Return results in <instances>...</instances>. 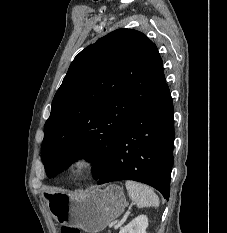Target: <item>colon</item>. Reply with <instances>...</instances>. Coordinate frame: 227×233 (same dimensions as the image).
I'll return each mask as SVG.
<instances>
[{
    "instance_id": "obj_1",
    "label": "colon",
    "mask_w": 227,
    "mask_h": 233,
    "mask_svg": "<svg viewBox=\"0 0 227 233\" xmlns=\"http://www.w3.org/2000/svg\"><path fill=\"white\" fill-rule=\"evenodd\" d=\"M61 233H83V232L79 228L67 226L61 229Z\"/></svg>"
}]
</instances>
